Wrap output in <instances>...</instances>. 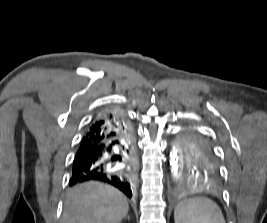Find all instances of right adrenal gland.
<instances>
[{
  "instance_id": "obj_1",
  "label": "right adrenal gland",
  "mask_w": 267,
  "mask_h": 223,
  "mask_svg": "<svg viewBox=\"0 0 267 223\" xmlns=\"http://www.w3.org/2000/svg\"><path fill=\"white\" fill-rule=\"evenodd\" d=\"M126 218L130 221V217H129V215H127Z\"/></svg>"
}]
</instances>
